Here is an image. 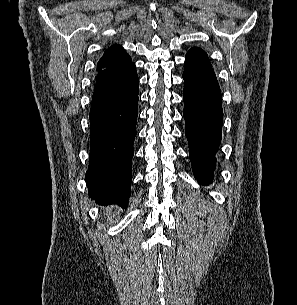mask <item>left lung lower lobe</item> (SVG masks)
Returning a JSON list of instances; mask_svg holds the SVG:
<instances>
[{"label":"left lung lower lobe","mask_w":297,"mask_h":305,"mask_svg":"<svg viewBox=\"0 0 297 305\" xmlns=\"http://www.w3.org/2000/svg\"><path fill=\"white\" fill-rule=\"evenodd\" d=\"M183 79L185 135L190 160L195 178L206 185L212 181L215 154L221 142V90L212 66L187 67Z\"/></svg>","instance_id":"left-lung-lower-lobe-1"}]
</instances>
